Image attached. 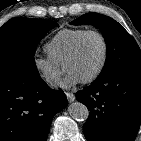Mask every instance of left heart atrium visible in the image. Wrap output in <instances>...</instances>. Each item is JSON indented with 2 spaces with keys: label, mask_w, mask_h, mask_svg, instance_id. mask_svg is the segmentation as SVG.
I'll use <instances>...</instances> for the list:
<instances>
[{
  "label": "left heart atrium",
  "mask_w": 141,
  "mask_h": 141,
  "mask_svg": "<svg viewBox=\"0 0 141 141\" xmlns=\"http://www.w3.org/2000/svg\"><path fill=\"white\" fill-rule=\"evenodd\" d=\"M82 79L74 72L69 71L62 82V86L65 88H70L80 83Z\"/></svg>",
  "instance_id": "left-heart-atrium-1"
}]
</instances>
